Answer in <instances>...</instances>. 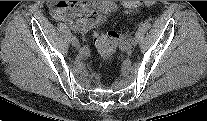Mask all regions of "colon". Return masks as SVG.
I'll return each instance as SVG.
<instances>
[{
  "mask_svg": "<svg viewBox=\"0 0 207 121\" xmlns=\"http://www.w3.org/2000/svg\"><path fill=\"white\" fill-rule=\"evenodd\" d=\"M145 2L129 1L126 3V7L129 10H135L142 4H145ZM93 41L97 51L99 52V54L103 59L110 61L114 58L117 44L119 41V34L117 32L115 31L95 32L93 35Z\"/></svg>",
  "mask_w": 207,
  "mask_h": 121,
  "instance_id": "1",
  "label": "colon"
}]
</instances>
